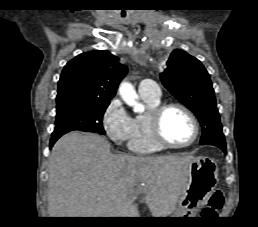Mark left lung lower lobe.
<instances>
[{
	"instance_id": "0a47b994",
	"label": "left lung lower lobe",
	"mask_w": 258,
	"mask_h": 227,
	"mask_svg": "<svg viewBox=\"0 0 258 227\" xmlns=\"http://www.w3.org/2000/svg\"><path fill=\"white\" fill-rule=\"evenodd\" d=\"M225 154L227 153L226 151V145H217Z\"/></svg>"
}]
</instances>
